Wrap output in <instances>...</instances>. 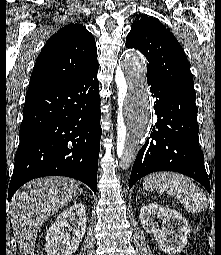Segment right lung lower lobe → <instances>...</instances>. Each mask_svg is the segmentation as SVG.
Returning a JSON list of instances; mask_svg holds the SVG:
<instances>
[{"label": "right lung lower lobe", "instance_id": "right-lung-lower-lobe-1", "mask_svg": "<svg viewBox=\"0 0 221 255\" xmlns=\"http://www.w3.org/2000/svg\"><path fill=\"white\" fill-rule=\"evenodd\" d=\"M98 68L27 92L8 200L24 183L50 175L75 178L96 193L101 137Z\"/></svg>", "mask_w": 221, "mask_h": 255}]
</instances>
